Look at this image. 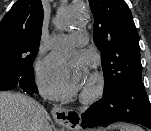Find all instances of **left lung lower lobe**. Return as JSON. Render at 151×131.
Masks as SVG:
<instances>
[{
    "instance_id": "0a47b994",
    "label": "left lung lower lobe",
    "mask_w": 151,
    "mask_h": 131,
    "mask_svg": "<svg viewBox=\"0 0 151 131\" xmlns=\"http://www.w3.org/2000/svg\"><path fill=\"white\" fill-rule=\"evenodd\" d=\"M128 121L151 129V104L141 77H132L91 105L81 115V126L92 128Z\"/></svg>"
}]
</instances>
